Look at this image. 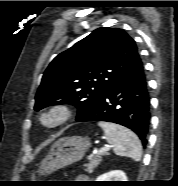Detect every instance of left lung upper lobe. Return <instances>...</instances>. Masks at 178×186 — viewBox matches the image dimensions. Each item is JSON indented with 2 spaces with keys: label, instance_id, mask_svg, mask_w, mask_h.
I'll return each mask as SVG.
<instances>
[{
  "label": "left lung upper lobe",
  "instance_id": "obj_1",
  "mask_svg": "<svg viewBox=\"0 0 178 186\" xmlns=\"http://www.w3.org/2000/svg\"><path fill=\"white\" fill-rule=\"evenodd\" d=\"M140 64L136 43L127 33L119 28H98L53 59L44 72L34 109L68 103L78 108V118Z\"/></svg>",
  "mask_w": 178,
  "mask_h": 186
}]
</instances>
